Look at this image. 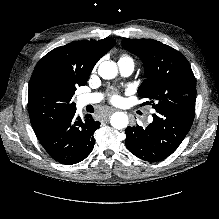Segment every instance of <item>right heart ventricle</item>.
Returning <instances> with one entry per match:
<instances>
[{"mask_svg":"<svg viewBox=\"0 0 219 219\" xmlns=\"http://www.w3.org/2000/svg\"><path fill=\"white\" fill-rule=\"evenodd\" d=\"M128 60H132V59L127 55H122L119 59V61H128Z\"/></svg>","mask_w":219,"mask_h":219,"instance_id":"e07e8e85","label":"right heart ventricle"}]
</instances>
